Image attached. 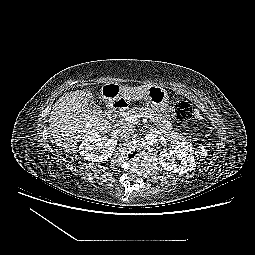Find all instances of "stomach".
Returning a JSON list of instances; mask_svg holds the SVG:
<instances>
[{"mask_svg":"<svg viewBox=\"0 0 255 255\" xmlns=\"http://www.w3.org/2000/svg\"><path fill=\"white\" fill-rule=\"evenodd\" d=\"M101 96L103 100L113 103L114 101L124 100L122 96L121 87L115 86L114 92L112 95L104 94L103 90L101 91ZM144 99L146 104L151 107L156 113L164 116L169 117L170 115V108H168L169 104V96L167 91L157 85H152L146 91L144 95ZM125 102H129V100H124Z\"/></svg>","mask_w":255,"mask_h":255,"instance_id":"1","label":"stomach"}]
</instances>
